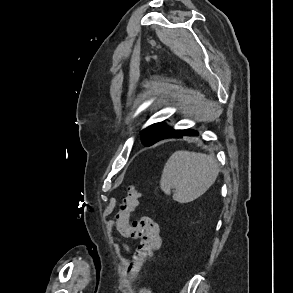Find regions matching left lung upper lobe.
Listing matches in <instances>:
<instances>
[{"label":"left lung upper lobe","mask_w":293,"mask_h":293,"mask_svg":"<svg viewBox=\"0 0 293 293\" xmlns=\"http://www.w3.org/2000/svg\"><path fill=\"white\" fill-rule=\"evenodd\" d=\"M173 129L163 122L155 123L141 132L142 143L145 146H150L155 142L164 138Z\"/></svg>","instance_id":"5c2ea615"}]
</instances>
